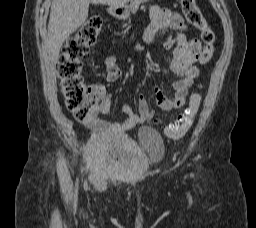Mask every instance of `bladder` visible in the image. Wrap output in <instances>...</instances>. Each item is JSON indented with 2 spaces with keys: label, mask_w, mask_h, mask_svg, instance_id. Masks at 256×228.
<instances>
[{
  "label": "bladder",
  "mask_w": 256,
  "mask_h": 228,
  "mask_svg": "<svg viewBox=\"0 0 256 228\" xmlns=\"http://www.w3.org/2000/svg\"><path fill=\"white\" fill-rule=\"evenodd\" d=\"M141 143L126 136L104 135L87 145L89 163L103 178L131 177L143 173L151 162L164 154V142L158 131L143 128Z\"/></svg>",
  "instance_id": "31cf9c89"
}]
</instances>
